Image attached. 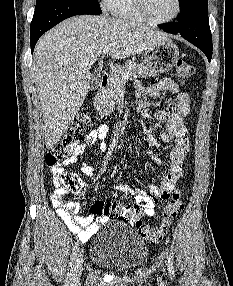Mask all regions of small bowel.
I'll return each instance as SVG.
<instances>
[{
  "mask_svg": "<svg viewBox=\"0 0 233 286\" xmlns=\"http://www.w3.org/2000/svg\"><path fill=\"white\" fill-rule=\"evenodd\" d=\"M135 90L137 95H147L152 99L159 98L165 92H171L175 95V99L165 109L156 111L154 115L156 120L166 123L161 139L164 142L172 141L174 143L170 151L169 171L158 186L149 184L146 189H142L127 184L116 185L115 189L117 191L133 197L134 204L121 205L115 202L96 201L91 206L90 214L86 216L77 215L81 210L80 203L64 201L66 190L61 187L56 176L54 179V190L50 195L51 203L69 229L76 234L80 242L88 241L96 234L101 225L107 223L113 217L123 222L131 223L130 209L134 206L147 216L153 215L157 202L169 197V194L175 188L176 182L183 175L182 165L189 152L188 130L185 126V119L190 111L191 101L189 95L180 91L178 85L169 78L162 79L157 84L150 86L136 84ZM108 131L106 125H99L97 128L89 131L84 136L83 141L77 144L73 154L63 162V165L75 164L78 156L85 151L86 147L98 141L101 142V152H105L107 149L105 139L108 136ZM60 167L62 168V164ZM82 171L84 174L92 176L95 173V167L83 163Z\"/></svg>",
  "mask_w": 233,
  "mask_h": 286,
  "instance_id": "1",
  "label": "small bowel"
}]
</instances>
